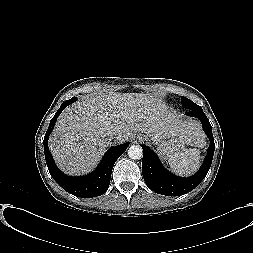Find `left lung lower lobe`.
Returning a JSON list of instances; mask_svg holds the SVG:
<instances>
[{"label": "left lung lower lobe", "instance_id": "obj_1", "mask_svg": "<svg viewBox=\"0 0 253 253\" xmlns=\"http://www.w3.org/2000/svg\"><path fill=\"white\" fill-rule=\"evenodd\" d=\"M185 114L196 117L201 121L203 130L210 140L207 155L196 174L188 178H182L166 171L157 155L149 147L141 145L144 151L142 159L143 178L146 185L158 194L166 196L184 195L193 190L205 178L210 169L215 150L210 122L200 106L188 109Z\"/></svg>", "mask_w": 253, "mask_h": 253}]
</instances>
